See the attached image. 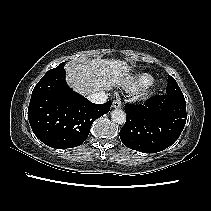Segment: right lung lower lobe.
I'll return each instance as SVG.
<instances>
[{"instance_id": "1", "label": "right lung lower lobe", "mask_w": 211, "mask_h": 211, "mask_svg": "<svg viewBox=\"0 0 211 211\" xmlns=\"http://www.w3.org/2000/svg\"><path fill=\"white\" fill-rule=\"evenodd\" d=\"M111 101L94 104L70 89L65 69L42 77L35 86L28 107L31 128L38 139L52 148L81 145L91 125L109 112Z\"/></svg>"}]
</instances>
